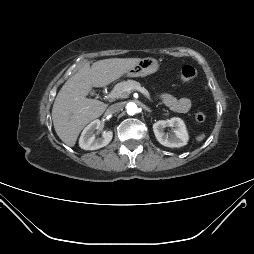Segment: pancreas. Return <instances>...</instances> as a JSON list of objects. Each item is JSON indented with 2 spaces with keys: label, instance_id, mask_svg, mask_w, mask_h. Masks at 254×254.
<instances>
[{
  "label": "pancreas",
  "instance_id": "cf45deb5",
  "mask_svg": "<svg viewBox=\"0 0 254 254\" xmlns=\"http://www.w3.org/2000/svg\"><path fill=\"white\" fill-rule=\"evenodd\" d=\"M141 87V84L134 80L122 81L115 85L110 96L112 98H126L132 90Z\"/></svg>",
  "mask_w": 254,
  "mask_h": 254
}]
</instances>
